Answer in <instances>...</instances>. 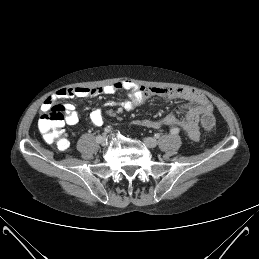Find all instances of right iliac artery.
<instances>
[{
	"instance_id": "obj_1",
	"label": "right iliac artery",
	"mask_w": 259,
	"mask_h": 259,
	"mask_svg": "<svg viewBox=\"0 0 259 259\" xmlns=\"http://www.w3.org/2000/svg\"><path fill=\"white\" fill-rule=\"evenodd\" d=\"M94 138H95L96 141H98V140H100L101 137H100V135L97 134V135H95Z\"/></svg>"
}]
</instances>
